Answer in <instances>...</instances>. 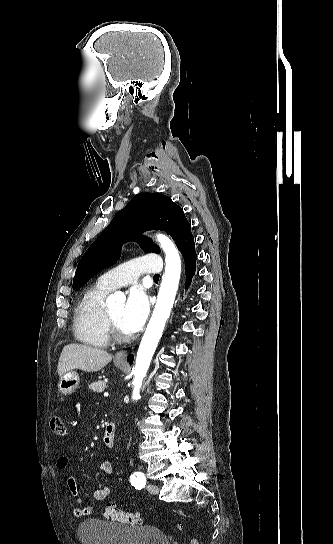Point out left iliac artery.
<instances>
[{"label": "left iliac artery", "mask_w": 333, "mask_h": 544, "mask_svg": "<svg viewBox=\"0 0 333 544\" xmlns=\"http://www.w3.org/2000/svg\"><path fill=\"white\" fill-rule=\"evenodd\" d=\"M130 482L135 489H142L146 485V477L142 472H134L130 476Z\"/></svg>", "instance_id": "obj_1"}]
</instances>
